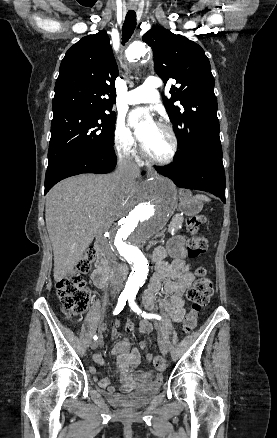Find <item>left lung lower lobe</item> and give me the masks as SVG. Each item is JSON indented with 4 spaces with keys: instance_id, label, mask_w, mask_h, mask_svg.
<instances>
[{
    "instance_id": "1",
    "label": "left lung lower lobe",
    "mask_w": 277,
    "mask_h": 438,
    "mask_svg": "<svg viewBox=\"0 0 277 438\" xmlns=\"http://www.w3.org/2000/svg\"><path fill=\"white\" fill-rule=\"evenodd\" d=\"M181 188L210 192L225 203V172L221 142L212 139L200 146L189 158L178 159L170 166L155 167Z\"/></svg>"
}]
</instances>
